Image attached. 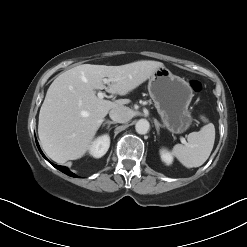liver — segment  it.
<instances>
[{
	"label": "liver",
	"instance_id": "obj_1",
	"mask_svg": "<svg viewBox=\"0 0 247 247\" xmlns=\"http://www.w3.org/2000/svg\"><path fill=\"white\" fill-rule=\"evenodd\" d=\"M163 66L157 61L120 66L83 64L60 74L48 88L39 113L38 135L45 153L57 163L81 158L108 112L130 102L100 99L95 90L126 95ZM105 77L113 79L107 87Z\"/></svg>",
	"mask_w": 247,
	"mask_h": 247
}]
</instances>
